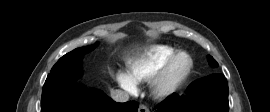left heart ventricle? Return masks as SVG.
<instances>
[{"label":"left heart ventricle","instance_id":"1","mask_svg":"<svg viewBox=\"0 0 270 112\" xmlns=\"http://www.w3.org/2000/svg\"><path fill=\"white\" fill-rule=\"evenodd\" d=\"M189 60L184 54L179 55L172 63L168 72V82L177 79L188 67Z\"/></svg>","mask_w":270,"mask_h":112}]
</instances>
